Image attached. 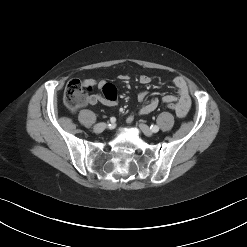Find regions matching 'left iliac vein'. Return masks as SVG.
Segmentation results:
<instances>
[{
	"instance_id": "left-iliac-vein-1",
	"label": "left iliac vein",
	"mask_w": 247,
	"mask_h": 247,
	"mask_svg": "<svg viewBox=\"0 0 247 247\" xmlns=\"http://www.w3.org/2000/svg\"><path fill=\"white\" fill-rule=\"evenodd\" d=\"M139 128L146 136L151 137L153 135V131L146 124L141 123Z\"/></svg>"
}]
</instances>
